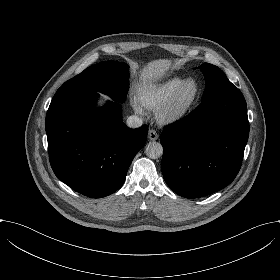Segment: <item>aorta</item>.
<instances>
[{"mask_svg":"<svg viewBox=\"0 0 280 280\" xmlns=\"http://www.w3.org/2000/svg\"><path fill=\"white\" fill-rule=\"evenodd\" d=\"M145 153L151 159H157L163 154V147L159 142H149L146 146Z\"/></svg>","mask_w":280,"mask_h":280,"instance_id":"762f6f07","label":"aorta"}]
</instances>
